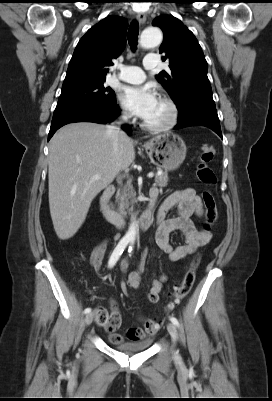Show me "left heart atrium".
I'll list each match as a JSON object with an SVG mask.
<instances>
[{"label":"left heart atrium","instance_id":"left-heart-atrium-1","mask_svg":"<svg viewBox=\"0 0 272 401\" xmlns=\"http://www.w3.org/2000/svg\"><path fill=\"white\" fill-rule=\"evenodd\" d=\"M121 102L143 120L149 116L157 103V94L151 85L126 86L120 94Z\"/></svg>","mask_w":272,"mask_h":401}]
</instances>
